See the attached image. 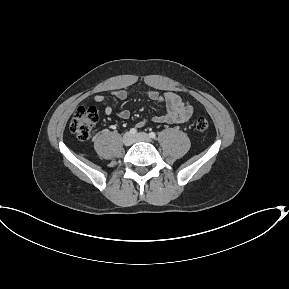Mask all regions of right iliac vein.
Wrapping results in <instances>:
<instances>
[{
  "label": "right iliac vein",
  "instance_id": "right-iliac-vein-1",
  "mask_svg": "<svg viewBox=\"0 0 289 289\" xmlns=\"http://www.w3.org/2000/svg\"><path fill=\"white\" fill-rule=\"evenodd\" d=\"M122 142L125 146H130L134 142V138L129 132H127L124 134Z\"/></svg>",
  "mask_w": 289,
  "mask_h": 289
}]
</instances>
